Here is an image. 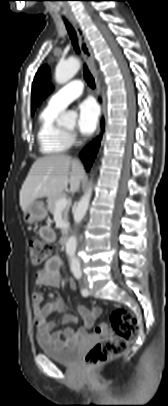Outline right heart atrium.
Wrapping results in <instances>:
<instances>
[{"mask_svg": "<svg viewBox=\"0 0 168 406\" xmlns=\"http://www.w3.org/2000/svg\"><path fill=\"white\" fill-rule=\"evenodd\" d=\"M70 137H71L72 141L75 139V136L73 134L70 135Z\"/></svg>", "mask_w": 168, "mask_h": 406, "instance_id": "d8ad5b80", "label": "right heart atrium"}]
</instances>
